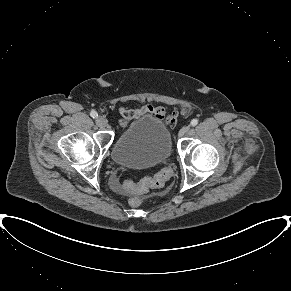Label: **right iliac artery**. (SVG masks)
I'll list each match as a JSON object with an SVG mask.
<instances>
[{"label": "right iliac artery", "mask_w": 291, "mask_h": 291, "mask_svg": "<svg viewBox=\"0 0 291 291\" xmlns=\"http://www.w3.org/2000/svg\"><path fill=\"white\" fill-rule=\"evenodd\" d=\"M90 115H91L92 118H96L98 116L97 112L94 111V110L91 111Z\"/></svg>", "instance_id": "right-iliac-artery-1"}]
</instances>
